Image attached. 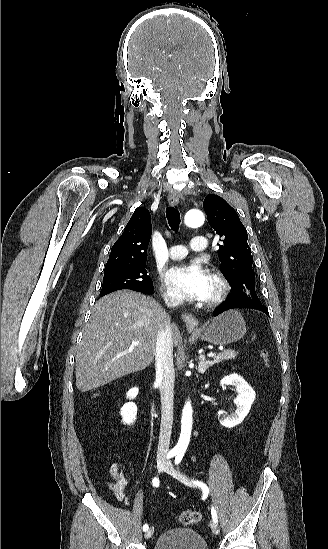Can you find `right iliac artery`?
<instances>
[{"label": "right iliac artery", "instance_id": "right-iliac-artery-1", "mask_svg": "<svg viewBox=\"0 0 328 549\" xmlns=\"http://www.w3.org/2000/svg\"><path fill=\"white\" fill-rule=\"evenodd\" d=\"M173 456H175V453H168L167 458H172ZM152 484H153V486L158 487V486H159V479H158L157 477H155V478L152 480ZM148 528H149L148 525L145 524V525L143 526V531H147Z\"/></svg>", "mask_w": 328, "mask_h": 549}]
</instances>
